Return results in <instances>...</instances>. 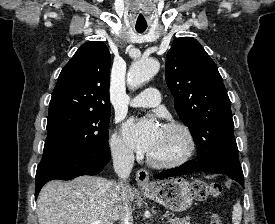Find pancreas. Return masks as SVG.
I'll return each mask as SVG.
<instances>
[{"instance_id": "obj_1", "label": "pancreas", "mask_w": 275, "mask_h": 224, "mask_svg": "<svg viewBox=\"0 0 275 224\" xmlns=\"http://www.w3.org/2000/svg\"><path fill=\"white\" fill-rule=\"evenodd\" d=\"M169 224H190V217H175L168 220Z\"/></svg>"}]
</instances>
